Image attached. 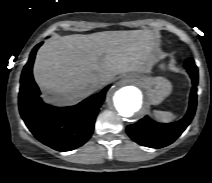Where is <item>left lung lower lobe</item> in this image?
<instances>
[{
    "label": "left lung lower lobe",
    "instance_id": "1",
    "mask_svg": "<svg viewBox=\"0 0 212 183\" xmlns=\"http://www.w3.org/2000/svg\"><path fill=\"white\" fill-rule=\"evenodd\" d=\"M192 79V91L187 114L178 122L162 124L152 121L148 116L135 124L127 126L128 135L142 146L161 148L173 143L190 124L197 104L198 69L193 59L185 63Z\"/></svg>",
    "mask_w": 212,
    "mask_h": 183
}]
</instances>
